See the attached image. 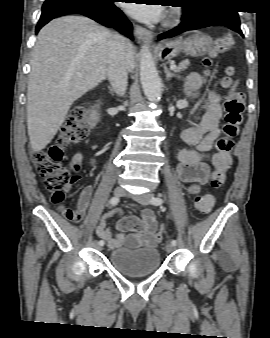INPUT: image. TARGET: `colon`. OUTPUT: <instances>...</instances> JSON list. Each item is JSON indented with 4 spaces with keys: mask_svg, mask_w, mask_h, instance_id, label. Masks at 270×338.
Wrapping results in <instances>:
<instances>
[{
    "mask_svg": "<svg viewBox=\"0 0 270 338\" xmlns=\"http://www.w3.org/2000/svg\"><path fill=\"white\" fill-rule=\"evenodd\" d=\"M234 47V37L231 34H223L213 41L212 51L214 55L226 52ZM204 66L206 74L211 76L213 62L205 58ZM236 69H227L225 77L221 80V86L225 90L224 95V124L222 135L216 140L215 152L212 156V180L213 189L220 188L226 178V173L232 166V150L235 139L239 134L244 119L243 94L238 90L235 79ZM88 113L86 109L75 108L72 115L63 123L53 143L46 149L31 153V160L35 169L42 176L47 191L51 193V201L58 207L61 213L70 220L76 221L78 213L72 208L63 206L65 194L78 181L79 177L74 173L73 165L68 167L62 164L64 151L87 136ZM214 205V197L210 193H203L195 197L194 208L202 214H209ZM127 229H137L140 224L134 221L125 223Z\"/></svg>",
    "mask_w": 270,
    "mask_h": 338,
    "instance_id": "1",
    "label": "colon"
}]
</instances>
